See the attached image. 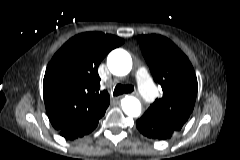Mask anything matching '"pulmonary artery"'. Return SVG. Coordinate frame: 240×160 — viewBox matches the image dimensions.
Listing matches in <instances>:
<instances>
[{"label": "pulmonary artery", "instance_id": "obj_1", "mask_svg": "<svg viewBox=\"0 0 240 160\" xmlns=\"http://www.w3.org/2000/svg\"><path fill=\"white\" fill-rule=\"evenodd\" d=\"M138 89L143 98L149 102L153 101L155 98V87L152 83V80L144 68L137 70L135 74Z\"/></svg>", "mask_w": 240, "mask_h": 160}]
</instances>
